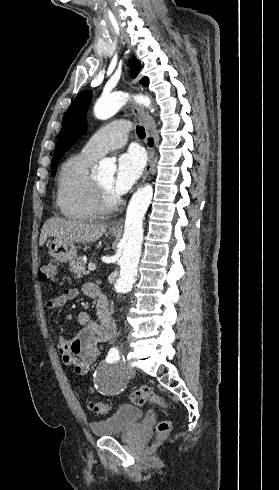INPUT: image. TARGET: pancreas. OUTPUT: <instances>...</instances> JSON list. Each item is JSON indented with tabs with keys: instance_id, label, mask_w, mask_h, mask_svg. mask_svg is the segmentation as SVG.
I'll list each match as a JSON object with an SVG mask.
<instances>
[{
	"instance_id": "cf45deb5",
	"label": "pancreas",
	"mask_w": 279,
	"mask_h": 490,
	"mask_svg": "<svg viewBox=\"0 0 279 490\" xmlns=\"http://www.w3.org/2000/svg\"><path fill=\"white\" fill-rule=\"evenodd\" d=\"M70 266V272L74 274V278H82V276H85L87 274V270L85 268V264L83 262H80V260H72L69 264Z\"/></svg>"
}]
</instances>
